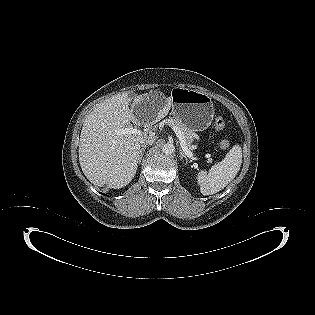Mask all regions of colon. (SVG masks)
Returning <instances> with one entry per match:
<instances>
[{
    "label": "colon",
    "instance_id": "colon-1",
    "mask_svg": "<svg viewBox=\"0 0 315 315\" xmlns=\"http://www.w3.org/2000/svg\"><path fill=\"white\" fill-rule=\"evenodd\" d=\"M225 126H226V122L221 117L217 118L214 122V127L218 131H222L225 128ZM220 145L222 148H227L229 145V142H228V140L223 139V140H221Z\"/></svg>",
    "mask_w": 315,
    "mask_h": 315
}]
</instances>
